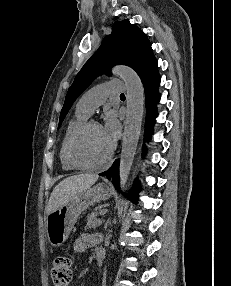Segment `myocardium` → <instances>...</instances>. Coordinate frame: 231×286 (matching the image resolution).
Returning <instances> with one entry per match:
<instances>
[{
    "mask_svg": "<svg viewBox=\"0 0 231 286\" xmlns=\"http://www.w3.org/2000/svg\"><path fill=\"white\" fill-rule=\"evenodd\" d=\"M91 126H101L100 123L94 119H88L83 122L72 134L69 139L68 146H67V157L69 162L78 169H89L94 167H99L106 164L113 156L115 151V143L112 142L111 148L108 154L98 161H85L80 158L76 152V146L79 139L82 135L86 132L88 128Z\"/></svg>",
    "mask_w": 231,
    "mask_h": 286,
    "instance_id": "1",
    "label": "myocardium"
}]
</instances>
